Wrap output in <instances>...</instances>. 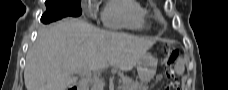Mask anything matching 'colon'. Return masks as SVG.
<instances>
[{"label": "colon", "instance_id": "1", "mask_svg": "<svg viewBox=\"0 0 228 90\" xmlns=\"http://www.w3.org/2000/svg\"><path fill=\"white\" fill-rule=\"evenodd\" d=\"M177 58L176 49H168L164 55V64L168 70V77L173 81L171 84L167 85L165 90L177 89V84L175 82V72L173 70V64Z\"/></svg>", "mask_w": 228, "mask_h": 90}]
</instances>
